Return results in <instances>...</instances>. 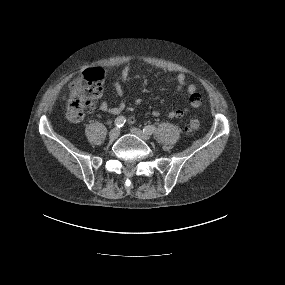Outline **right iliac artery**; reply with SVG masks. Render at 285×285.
Returning <instances> with one entry per match:
<instances>
[{
	"mask_svg": "<svg viewBox=\"0 0 285 285\" xmlns=\"http://www.w3.org/2000/svg\"><path fill=\"white\" fill-rule=\"evenodd\" d=\"M125 122H126V118L124 116H119L115 119L114 124L116 127L120 128L125 124Z\"/></svg>",
	"mask_w": 285,
	"mask_h": 285,
	"instance_id": "1",
	"label": "right iliac artery"
}]
</instances>
